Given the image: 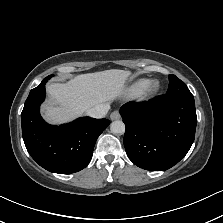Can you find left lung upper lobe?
I'll list each match as a JSON object with an SVG mask.
<instances>
[{"label": "left lung upper lobe", "instance_id": "obj_1", "mask_svg": "<svg viewBox=\"0 0 223 223\" xmlns=\"http://www.w3.org/2000/svg\"><path fill=\"white\" fill-rule=\"evenodd\" d=\"M168 94L192 95L186 84L175 75H169Z\"/></svg>", "mask_w": 223, "mask_h": 223}]
</instances>
